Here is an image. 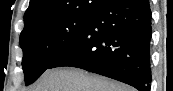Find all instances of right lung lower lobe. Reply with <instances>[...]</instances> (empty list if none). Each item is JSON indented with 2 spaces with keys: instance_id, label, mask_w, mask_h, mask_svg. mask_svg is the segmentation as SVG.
<instances>
[{
  "instance_id": "98d812e1",
  "label": "right lung lower lobe",
  "mask_w": 173,
  "mask_h": 91,
  "mask_svg": "<svg viewBox=\"0 0 173 91\" xmlns=\"http://www.w3.org/2000/svg\"><path fill=\"white\" fill-rule=\"evenodd\" d=\"M151 36L149 0H103L84 32L48 69L77 67L149 90Z\"/></svg>"
}]
</instances>
